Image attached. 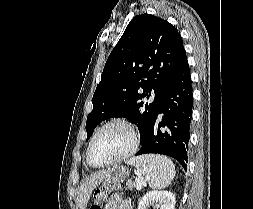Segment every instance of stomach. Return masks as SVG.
Masks as SVG:
<instances>
[{"label":"stomach","mask_w":253,"mask_h":209,"mask_svg":"<svg viewBox=\"0 0 253 209\" xmlns=\"http://www.w3.org/2000/svg\"><path fill=\"white\" fill-rule=\"evenodd\" d=\"M126 174V171H114V174L106 177V179L102 182L101 186L96 188L94 191L95 202L97 204H100L103 199L102 193H104L105 190H111V188H116V183L111 182H121L122 179H126ZM109 186L111 188H109Z\"/></svg>","instance_id":"stomach-1"}]
</instances>
